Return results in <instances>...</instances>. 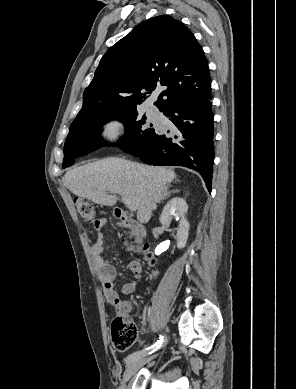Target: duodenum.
<instances>
[{"label": "duodenum", "instance_id": "duodenum-1", "mask_svg": "<svg viewBox=\"0 0 296 389\" xmlns=\"http://www.w3.org/2000/svg\"><path fill=\"white\" fill-rule=\"evenodd\" d=\"M115 216L119 219L121 224L129 230V232L136 238H142L145 236L144 227L137 221L130 218L123 210L116 209Z\"/></svg>", "mask_w": 296, "mask_h": 389}]
</instances>
